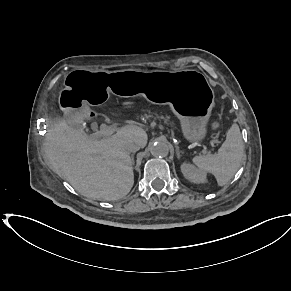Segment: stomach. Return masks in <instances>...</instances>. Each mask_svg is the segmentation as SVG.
<instances>
[{"label":"stomach","instance_id":"0dacf381","mask_svg":"<svg viewBox=\"0 0 291 291\" xmlns=\"http://www.w3.org/2000/svg\"><path fill=\"white\" fill-rule=\"evenodd\" d=\"M66 87L60 92V108L74 115H85L88 105L119 96L143 95L157 103H168L180 120L182 132L192 143L201 142L208 130L214 106V92L206 77L196 70L114 72L72 71L66 76Z\"/></svg>","mask_w":291,"mask_h":291}]
</instances>
